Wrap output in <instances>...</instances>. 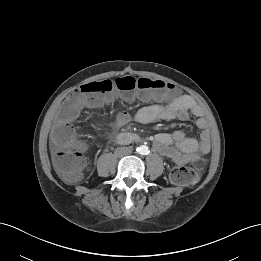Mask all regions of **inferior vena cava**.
<instances>
[{"label":"inferior vena cava","mask_w":261,"mask_h":261,"mask_svg":"<svg viewBox=\"0 0 261 261\" xmlns=\"http://www.w3.org/2000/svg\"><path fill=\"white\" fill-rule=\"evenodd\" d=\"M132 153V147H118L116 149V154L119 156H125Z\"/></svg>","instance_id":"obj_1"}]
</instances>
